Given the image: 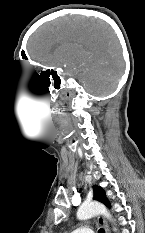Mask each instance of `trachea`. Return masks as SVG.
Here are the masks:
<instances>
[{
  "instance_id": "1",
  "label": "trachea",
  "mask_w": 145,
  "mask_h": 233,
  "mask_svg": "<svg viewBox=\"0 0 145 233\" xmlns=\"http://www.w3.org/2000/svg\"><path fill=\"white\" fill-rule=\"evenodd\" d=\"M98 232L99 233H105L104 229H102V228H100Z\"/></svg>"
}]
</instances>
